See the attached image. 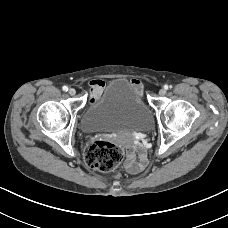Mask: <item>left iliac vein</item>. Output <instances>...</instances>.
Returning a JSON list of instances; mask_svg holds the SVG:
<instances>
[{
	"label": "left iliac vein",
	"instance_id": "4c4485c4",
	"mask_svg": "<svg viewBox=\"0 0 228 228\" xmlns=\"http://www.w3.org/2000/svg\"><path fill=\"white\" fill-rule=\"evenodd\" d=\"M166 94V90L165 89H160L159 90V95L160 96H164Z\"/></svg>",
	"mask_w": 228,
	"mask_h": 228
}]
</instances>
